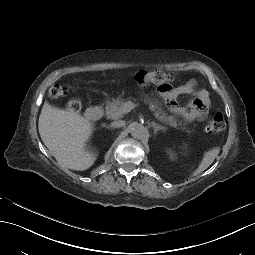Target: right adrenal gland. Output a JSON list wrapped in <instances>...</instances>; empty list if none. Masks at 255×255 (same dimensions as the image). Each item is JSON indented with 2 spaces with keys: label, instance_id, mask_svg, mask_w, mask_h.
<instances>
[{
  "label": "right adrenal gland",
  "instance_id": "right-adrenal-gland-1",
  "mask_svg": "<svg viewBox=\"0 0 255 255\" xmlns=\"http://www.w3.org/2000/svg\"><path fill=\"white\" fill-rule=\"evenodd\" d=\"M102 126H103V127H106L107 129H113L111 126H109V125H107V124H105V123H103Z\"/></svg>",
  "mask_w": 255,
  "mask_h": 255
}]
</instances>
